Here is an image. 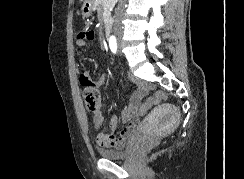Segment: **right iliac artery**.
I'll list each match as a JSON object with an SVG mask.
<instances>
[{
	"mask_svg": "<svg viewBox=\"0 0 244 179\" xmlns=\"http://www.w3.org/2000/svg\"><path fill=\"white\" fill-rule=\"evenodd\" d=\"M109 46H110L111 51L113 53H116V51H117V41H116V38L114 36L110 37Z\"/></svg>",
	"mask_w": 244,
	"mask_h": 179,
	"instance_id": "1",
	"label": "right iliac artery"
}]
</instances>
